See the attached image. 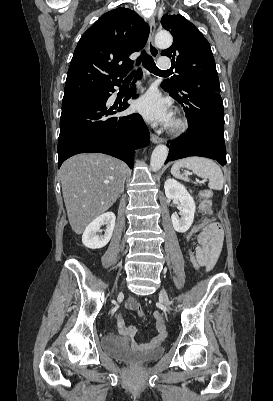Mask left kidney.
Masks as SVG:
<instances>
[{
    "label": "left kidney",
    "instance_id": "5707ae66",
    "mask_svg": "<svg viewBox=\"0 0 273 401\" xmlns=\"http://www.w3.org/2000/svg\"><path fill=\"white\" fill-rule=\"evenodd\" d=\"M167 198H178L182 211L173 213L172 225L177 233H186L194 221L195 203L191 194L186 190L184 184H180L174 178H167L164 184ZM181 215V217H179Z\"/></svg>",
    "mask_w": 273,
    "mask_h": 401
}]
</instances>
